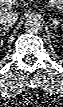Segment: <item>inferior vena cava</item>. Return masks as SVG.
I'll return each mask as SVG.
<instances>
[{"instance_id":"602c4592","label":"inferior vena cava","mask_w":63,"mask_h":107,"mask_svg":"<svg viewBox=\"0 0 63 107\" xmlns=\"http://www.w3.org/2000/svg\"><path fill=\"white\" fill-rule=\"evenodd\" d=\"M18 19V14L15 10L2 9L0 11V24L3 26L13 25Z\"/></svg>"}]
</instances>
